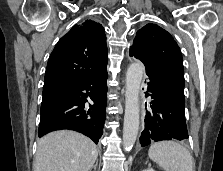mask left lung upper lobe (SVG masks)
<instances>
[{"mask_svg":"<svg viewBox=\"0 0 223 171\" xmlns=\"http://www.w3.org/2000/svg\"><path fill=\"white\" fill-rule=\"evenodd\" d=\"M130 50L185 84L181 51L170 33L160 26L150 23L139 29Z\"/></svg>","mask_w":223,"mask_h":171,"instance_id":"1","label":"left lung upper lobe"}]
</instances>
